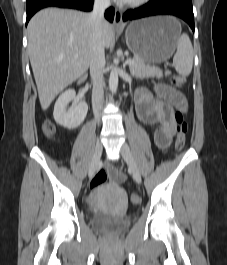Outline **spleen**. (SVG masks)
I'll return each instance as SVG.
<instances>
[{
  "mask_svg": "<svg viewBox=\"0 0 227 265\" xmlns=\"http://www.w3.org/2000/svg\"><path fill=\"white\" fill-rule=\"evenodd\" d=\"M176 71L182 76H188L193 66V47L189 36L183 33L177 40V51L173 58Z\"/></svg>",
  "mask_w": 227,
  "mask_h": 265,
  "instance_id": "obj_1",
  "label": "spleen"
}]
</instances>
